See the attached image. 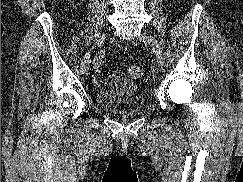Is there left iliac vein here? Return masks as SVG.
I'll return each instance as SVG.
<instances>
[{"label":"left iliac vein","mask_w":243,"mask_h":182,"mask_svg":"<svg viewBox=\"0 0 243 182\" xmlns=\"http://www.w3.org/2000/svg\"><path fill=\"white\" fill-rule=\"evenodd\" d=\"M138 39L143 43L149 44L153 48L155 55H156L157 64L159 66H162L164 63V59H165L164 52H163L161 45L157 41V39L154 36L149 35V34H143V35L139 36Z\"/></svg>","instance_id":"1"}]
</instances>
